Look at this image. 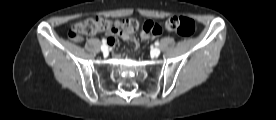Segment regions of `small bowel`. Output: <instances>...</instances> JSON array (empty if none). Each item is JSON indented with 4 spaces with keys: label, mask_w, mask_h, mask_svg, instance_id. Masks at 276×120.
I'll use <instances>...</instances> for the list:
<instances>
[{
    "label": "small bowel",
    "mask_w": 276,
    "mask_h": 120,
    "mask_svg": "<svg viewBox=\"0 0 276 120\" xmlns=\"http://www.w3.org/2000/svg\"><path fill=\"white\" fill-rule=\"evenodd\" d=\"M141 36H142L143 39H150V38L153 37V36H151V35H149V34H146L145 32H142V35H141ZM124 39H130V40H132V41L134 42V44H135V47L138 48L139 43H138V41L136 40V38H135L134 36L127 37V38H124ZM107 42H108L109 45H111V46H113V45L115 44V40H114L113 38H109V39L107 40Z\"/></svg>",
    "instance_id": "obj_1"
}]
</instances>
